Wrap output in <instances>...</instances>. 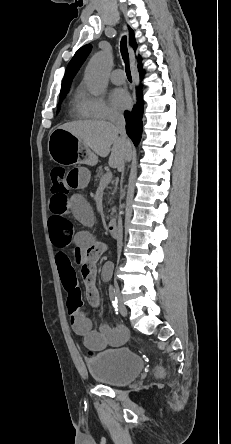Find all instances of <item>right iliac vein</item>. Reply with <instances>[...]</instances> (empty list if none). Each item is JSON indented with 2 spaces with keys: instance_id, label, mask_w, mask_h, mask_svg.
Wrapping results in <instances>:
<instances>
[{
  "instance_id": "1",
  "label": "right iliac vein",
  "mask_w": 231,
  "mask_h": 444,
  "mask_svg": "<svg viewBox=\"0 0 231 444\" xmlns=\"http://www.w3.org/2000/svg\"><path fill=\"white\" fill-rule=\"evenodd\" d=\"M116 294H117L118 299H119V302H118L119 311H120L121 315L126 316L127 315V309H126V307L123 304V301L121 299L118 286L116 287Z\"/></svg>"
}]
</instances>
